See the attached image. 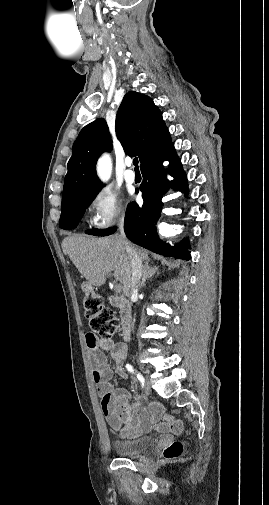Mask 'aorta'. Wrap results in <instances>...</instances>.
<instances>
[{
	"instance_id": "1",
	"label": "aorta",
	"mask_w": 269,
	"mask_h": 505,
	"mask_svg": "<svg viewBox=\"0 0 269 505\" xmlns=\"http://www.w3.org/2000/svg\"><path fill=\"white\" fill-rule=\"evenodd\" d=\"M112 172V162L108 155L102 156L97 163V174L103 182L110 179Z\"/></svg>"
}]
</instances>
